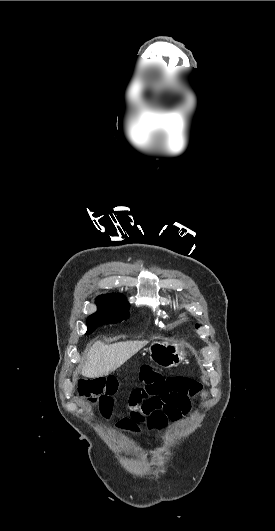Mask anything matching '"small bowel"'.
Segmentation results:
<instances>
[{
	"label": "small bowel",
	"instance_id": "c3829d8e",
	"mask_svg": "<svg viewBox=\"0 0 275 531\" xmlns=\"http://www.w3.org/2000/svg\"><path fill=\"white\" fill-rule=\"evenodd\" d=\"M139 374L141 382L147 386L132 395L130 414L116 423L118 430L135 437L141 434L140 424L160 435L169 425L179 423L190 412V402L186 398L190 395L200 397L204 391L202 383H192V373H164L162 377V369L144 364ZM104 382L105 394L100 396V408L102 415L109 417L114 412L113 400L119 391V377L106 375Z\"/></svg>",
	"mask_w": 275,
	"mask_h": 531
}]
</instances>
